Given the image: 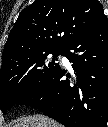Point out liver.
Masks as SVG:
<instances>
[{
	"label": "liver",
	"instance_id": "liver-1",
	"mask_svg": "<svg viewBox=\"0 0 108 127\" xmlns=\"http://www.w3.org/2000/svg\"><path fill=\"white\" fill-rule=\"evenodd\" d=\"M15 127H62L54 120L43 116L33 115L23 118Z\"/></svg>",
	"mask_w": 108,
	"mask_h": 127
}]
</instances>
